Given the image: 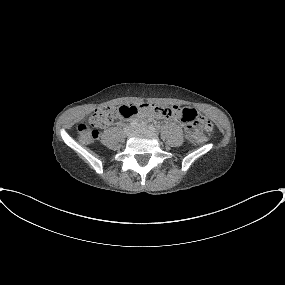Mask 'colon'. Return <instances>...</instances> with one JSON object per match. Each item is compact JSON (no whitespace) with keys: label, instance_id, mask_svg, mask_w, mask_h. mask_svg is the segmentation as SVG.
<instances>
[{"label":"colon","instance_id":"5ec220e1","mask_svg":"<svg viewBox=\"0 0 285 285\" xmlns=\"http://www.w3.org/2000/svg\"><path fill=\"white\" fill-rule=\"evenodd\" d=\"M159 113L168 117H178L187 127L188 137L192 142L202 139L201 129L211 130L212 124L197 111L190 108L180 109L176 106H158L150 103L139 105H123L118 110L103 106L97 108L87 119L77 127L79 139L90 143L99 136V130L107 127L116 116L132 118L141 114Z\"/></svg>","mask_w":285,"mask_h":285}]
</instances>
